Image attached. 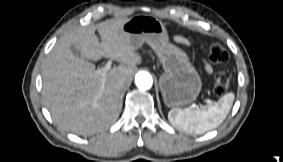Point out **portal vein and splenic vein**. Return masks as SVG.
<instances>
[{"label":"portal vein and splenic vein","mask_w":283,"mask_h":162,"mask_svg":"<svg viewBox=\"0 0 283 162\" xmlns=\"http://www.w3.org/2000/svg\"><path fill=\"white\" fill-rule=\"evenodd\" d=\"M110 69H111V64L106 63L103 68L97 70V73L104 77Z\"/></svg>","instance_id":"portal-vein-and-splenic-vein-1"}]
</instances>
